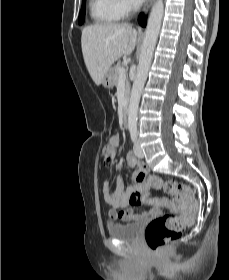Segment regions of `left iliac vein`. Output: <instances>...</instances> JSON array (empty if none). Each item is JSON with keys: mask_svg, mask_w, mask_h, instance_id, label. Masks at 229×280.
<instances>
[{"mask_svg": "<svg viewBox=\"0 0 229 280\" xmlns=\"http://www.w3.org/2000/svg\"><path fill=\"white\" fill-rule=\"evenodd\" d=\"M134 153L139 158H143L144 157V153H143V150H142V148L140 146L139 141H136L134 143Z\"/></svg>", "mask_w": 229, "mask_h": 280, "instance_id": "obj_1", "label": "left iliac vein"}]
</instances>
